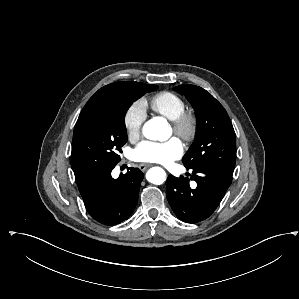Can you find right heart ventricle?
I'll return each instance as SVG.
<instances>
[{"instance_id":"right-heart-ventricle-1","label":"right heart ventricle","mask_w":299,"mask_h":299,"mask_svg":"<svg viewBox=\"0 0 299 299\" xmlns=\"http://www.w3.org/2000/svg\"><path fill=\"white\" fill-rule=\"evenodd\" d=\"M149 106L153 111L171 121L186 110L184 100L171 91H162L152 96L149 100Z\"/></svg>"}]
</instances>
